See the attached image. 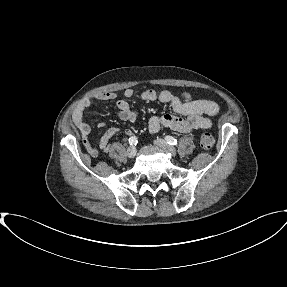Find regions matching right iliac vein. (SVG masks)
<instances>
[{
    "label": "right iliac vein",
    "instance_id": "obj_1",
    "mask_svg": "<svg viewBox=\"0 0 287 287\" xmlns=\"http://www.w3.org/2000/svg\"><path fill=\"white\" fill-rule=\"evenodd\" d=\"M126 153L129 158H133L136 155V148L134 146H130L127 148Z\"/></svg>",
    "mask_w": 287,
    "mask_h": 287
}]
</instances>
